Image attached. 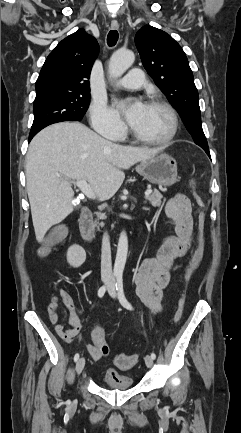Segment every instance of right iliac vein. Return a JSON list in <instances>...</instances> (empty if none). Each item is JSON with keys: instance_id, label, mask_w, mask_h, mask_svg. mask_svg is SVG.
<instances>
[{"instance_id": "1", "label": "right iliac vein", "mask_w": 241, "mask_h": 433, "mask_svg": "<svg viewBox=\"0 0 241 433\" xmlns=\"http://www.w3.org/2000/svg\"><path fill=\"white\" fill-rule=\"evenodd\" d=\"M85 366V359L82 357L80 358L76 363V372L77 374H80Z\"/></svg>"}]
</instances>
